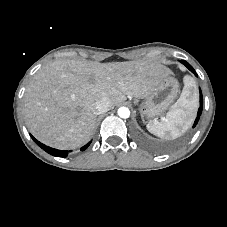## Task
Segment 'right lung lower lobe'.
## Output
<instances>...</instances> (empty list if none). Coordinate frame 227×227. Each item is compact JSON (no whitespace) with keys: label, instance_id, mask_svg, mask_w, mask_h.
<instances>
[{"label":"right lung lower lobe","instance_id":"right-lung-lower-lobe-1","mask_svg":"<svg viewBox=\"0 0 227 227\" xmlns=\"http://www.w3.org/2000/svg\"><path fill=\"white\" fill-rule=\"evenodd\" d=\"M32 139L34 140V142L40 146L43 150H45L46 152H48L49 154L53 155V156H57V157H66L68 154V151H63V150H57L51 147H48L44 144H42L41 142H39L38 140H36L32 135H31ZM91 142H89L88 144H86L85 146H83L81 148V151H84Z\"/></svg>","mask_w":227,"mask_h":227}]
</instances>
